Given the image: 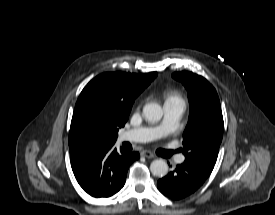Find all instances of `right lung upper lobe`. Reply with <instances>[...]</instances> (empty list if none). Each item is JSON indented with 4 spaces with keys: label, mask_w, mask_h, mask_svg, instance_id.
<instances>
[{
    "label": "right lung upper lobe",
    "mask_w": 275,
    "mask_h": 215,
    "mask_svg": "<svg viewBox=\"0 0 275 215\" xmlns=\"http://www.w3.org/2000/svg\"><path fill=\"white\" fill-rule=\"evenodd\" d=\"M156 76V72H109L91 80L75 105L69 133L70 156L96 143H115L135 98Z\"/></svg>",
    "instance_id": "obj_1"
}]
</instances>
